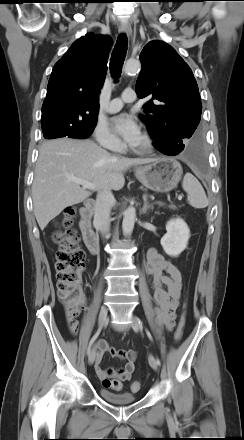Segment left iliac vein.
Returning a JSON list of instances; mask_svg holds the SVG:
<instances>
[{"instance_id": "1", "label": "left iliac vein", "mask_w": 244, "mask_h": 440, "mask_svg": "<svg viewBox=\"0 0 244 440\" xmlns=\"http://www.w3.org/2000/svg\"><path fill=\"white\" fill-rule=\"evenodd\" d=\"M131 325H132V328L135 332H138L142 329L140 319L135 315L132 317V324ZM149 364L154 370L158 369V365L156 364V361L152 355H149Z\"/></svg>"}]
</instances>
